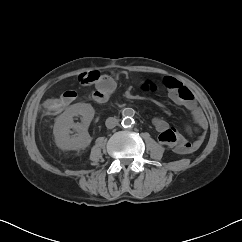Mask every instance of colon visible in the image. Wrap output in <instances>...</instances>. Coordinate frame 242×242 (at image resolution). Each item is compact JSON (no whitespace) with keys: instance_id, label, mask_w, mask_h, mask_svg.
<instances>
[{"instance_id":"1","label":"colon","mask_w":242,"mask_h":242,"mask_svg":"<svg viewBox=\"0 0 242 242\" xmlns=\"http://www.w3.org/2000/svg\"><path fill=\"white\" fill-rule=\"evenodd\" d=\"M99 73H92L88 77L84 75L82 77L83 82L85 83H90L99 78ZM150 88H145L146 91H148ZM182 93H185L184 89L181 90ZM108 94L104 91H99L94 95V97L97 100H105L108 98ZM69 97L66 93L58 96V97H50L44 102V108L46 112L48 113H58L61 110H63L66 106L67 103L69 102Z\"/></svg>"}]
</instances>
